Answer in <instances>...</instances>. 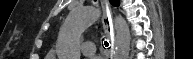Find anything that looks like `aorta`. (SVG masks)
Returning a JSON list of instances; mask_svg holds the SVG:
<instances>
[{
    "instance_id": "obj_1",
    "label": "aorta",
    "mask_w": 193,
    "mask_h": 59,
    "mask_svg": "<svg viewBox=\"0 0 193 59\" xmlns=\"http://www.w3.org/2000/svg\"><path fill=\"white\" fill-rule=\"evenodd\" d=\"M99 17V10L93 6L73 9L66 18L60 31L57 49L63 59H80L79 39L81 34ZM116 31L115 59H128L131 34L126 20L117 16L114 18Z\"/></svg>"
}]
</instances>
